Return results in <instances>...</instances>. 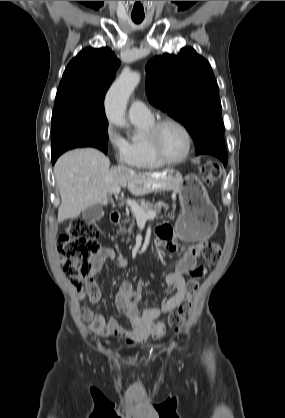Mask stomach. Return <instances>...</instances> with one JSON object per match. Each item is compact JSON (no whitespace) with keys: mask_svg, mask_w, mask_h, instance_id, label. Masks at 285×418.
Instances as JSON below:
<instances>
[{"mask_svg":"<svg viewBox=\"0 0 285 418\" xmlns=\"http://www.w3.org/2000/svg\"><path fill=\"white\" fill-rule=\"evenodd\" d=\"M182 207L175 230L177 236L186 242L209 238L216 230L218 217L209 200L207 191L195 175H188L179 191Z\"/></svg>","mask_w":285,"mask_h":418,"instance_id":"1","label":"stomach"}]
</instances>
